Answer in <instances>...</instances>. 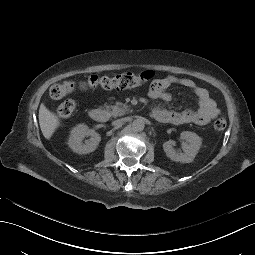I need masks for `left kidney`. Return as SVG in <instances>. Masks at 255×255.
<instances>
[{
  "label": "left kidney",
  "instance_id": "1",
  "mask_svg": "<svg viewBox=\"0 0 255 255\" xmlns=\"http://www.w3.org/2000/svg\"><path fill=\"white\" fill-rule=\"evenodd\" d=\"M181 148L184 153H179L174 149L176 142L169 140L163 144V149L168 158L176 162L190 163L193 161L201 141L198 135L192 132H183L180 136Z\"/></svg>",
  "mask_w": 255,
  "mask_h": 255
}]
</instances>
